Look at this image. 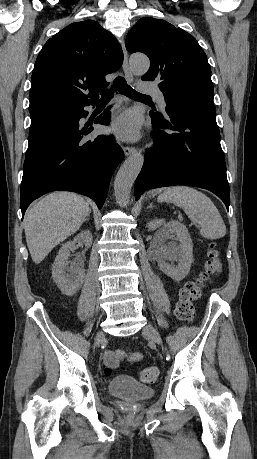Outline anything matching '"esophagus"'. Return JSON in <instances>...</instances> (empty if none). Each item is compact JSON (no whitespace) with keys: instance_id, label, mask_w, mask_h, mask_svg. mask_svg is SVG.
<instances>
[{"instance_id":"esophagus-1","label":"esophagus","mask_w":257,"mask_h":459,"mask_svg":"<svg viewBox=\"0 0 257 459\" xmlns=\"http://www.w3.org/2000/svg\"><path fill=\"white\" fill-rule=\"evenodd\" d=\"M122 48H123V64H122V68H123L126 80L128 82H132L133 81V74H132V72H131V70L129 68L128 54H127V51H126L124 43L122 44ZM123 151H124L125 156H129V155L135 154L137 150L133 146H124L123 147Z\"/></svg>"}]
</instances>
